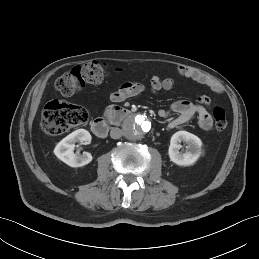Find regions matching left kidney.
<instances>
[{
    "label": "left kidney",
    "mask_w": 259,
    "mask_h": 259,
    "mask_svg": "<svg viewBox=\"0 0 259 259\" xmlns=\"http://www.w3.org/2000/svg\"><path fill=\"white\" fill-rule=\"evenodd\" d=\"M181 141L187 144L185 152H180ZM202 142L200 138L187 131L176 132L170 140L168 150L170 160L179 166H189L194 164L202 153Z\"/></svg>",
    "instance_id": "1"
}]
</instances>
